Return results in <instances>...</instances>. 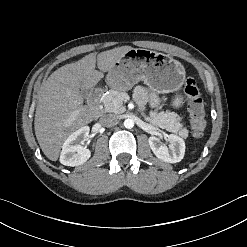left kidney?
<instances>
[{"mask_svg":"<svg viewBox=\"0 0 247 247\" xmlns=\"http://www.w3.org/2000/svg\"><path fill=\"white\" fill-rule=\"evenodd\" d=\"M166 140L169 142V147L155 136L149 137L148 142L151 150L160 160L167 163L180 162L185 154L184 140L174 134L167 135Z\"/></svg>","mask_w":247,"mask_h":247,"instance_id":"1","label":"left kidney"}]
</instances>
